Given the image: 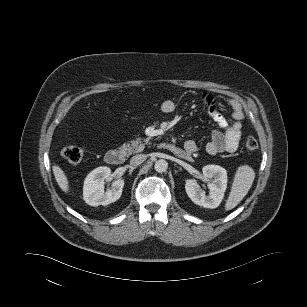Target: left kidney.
<instances>
[{"label": "left kidney", "instance_id": "5707ae66", "mask_svg": "<svg viewBox=\"0 0 307 307\" xmlns=\"http://www.w3.org/2000/svg\"><path fill=\"white\" fill-rule=\"evenodd\" d=\"M202 172L205 178L212 180L208 184L209 195H206L193 179L186 180V193L195 204L204 208H216L222 202L227 188V171L218 165H206Z\"/></svg>", "mask_w": 307, "mask_h": 307}]
</instances>
